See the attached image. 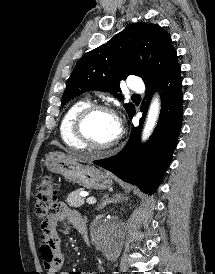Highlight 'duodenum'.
Wrapping results in <instances>:
<instances>
[{
  "instance_id": "1",
  "label": "duodenum",
  "mask_w": 215,
  "mask_h": 274,
  "mask_svg": "<svg viewBox=\"0 0 215 274\" xmlns=\"http://www.w3.org/2000/svg\"><path fill=\"white\" fill-rule=\"evenodd\" d=\"M80 234L85 238L86 241H89L87 228H82L80 230Z\"/></svg>"
}]
</instances>
